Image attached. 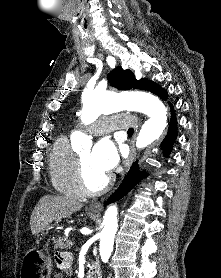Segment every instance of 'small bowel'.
I'll return each mask as SVG.
<instances>
[{"label":"small bowel","mask_w":221,"mask_h":278,"mask_svg":"<svg viewBox=\"0 0 221 278\" xmlns=\"http://www.w3.org/2000/svg\"><path fill=\"white\" fill-rule=\"evenodd\" d=\"M56 262L59 266V272L53 278H65L71 275V257L67 253H58L56 255Z\"/></svg>","instance_id":"small-bowel-1"}]
</instances>
